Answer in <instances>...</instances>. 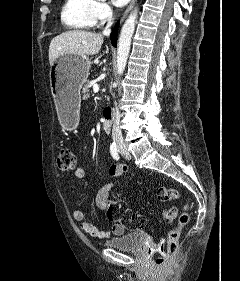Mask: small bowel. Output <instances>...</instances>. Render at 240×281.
<instances>
[{"label": "small bowel", "mask_w": 240, "mask_h": 281, "mask_svg": "<svg viewBox=\"0 0 240 281\" xmlns=\"http://www.w3.org/2000/svg\"><path fill=\"white\" fill-rule=\"evenodd\" d=\"M74 175L76 178H83L85 176V169L83 167L76 168ZM123 175H126L127 179L130 181L135 177L133 171L124 165H113L108 170V176L111 179ZM113 186V183L109 182L102 186L96 194V206L102 211H107L109 194ZM72 216L76 221L80 222V228L83 232L96 239H106L111 233L115 235H122L124 233V227L120 224L113 225L110 231L97 228L92 223L85 220L84 212L79 207L74 208Z\"/></svg>", "instance_id": "obj_1"}]
</instances>
